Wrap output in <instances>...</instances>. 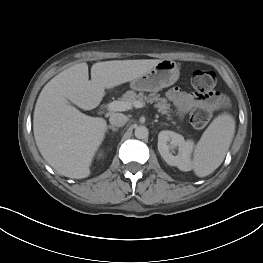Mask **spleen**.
<instances>
[{
  "label": "spleen",
  "instance_id": "3e777b00",
  "mask_svg": "<svg viewBox=\"0 0 263 263\" xmlns=\"http://www.w3.org/2000/svg\"><path fill=\"white\" fill-rule=\"evenodd\" d=\"M235 131V120L230 114L216 117L202 134L193 154L192 168L198 177H205L224 160Z\"/></svg>",
  "mask_w": 263,
  "mask_h": 263
}]
</instances>
